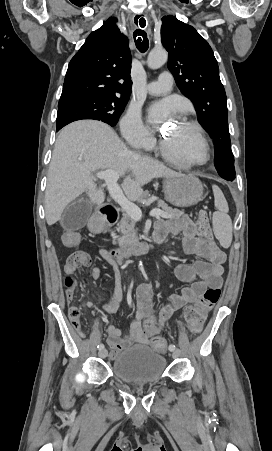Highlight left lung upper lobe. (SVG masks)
<instances>
[{"instance_id": "1", "label": "left lung upper lobe", "mask_w": 272, "mask_h": 451, "mask_svg": "<svg viewBox=\"0 0 272 451\" xmlns=\"http://www.w3.org/2000/svg\"><path fill=\"white\" fill-rule=\"evenodd\" d=\"M161 42L169 52L168 68L182 93L194 104L199 123L214 139L215 167L222 178H234L226 94L207 41L172 15L162 18Z\"/></svg>"}]
</instances>
